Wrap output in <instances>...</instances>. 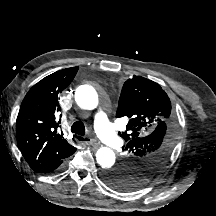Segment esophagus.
<instances>
[{"label": "esophagus", "mask_w": 216, "mask_h": 216, "mask_svg": "<svg viewBox=\"0 0 216 216\" xmlns=\"http://www.w3.org/2000/svg\"><path fill=\"white\" fill-rule=\"evenodd\" d=\"M75 139L77 142H85L93 146H98L97 141L89 137L76 136Z\"/></svg>", "instance_id": "obj_1"}]
</instances>
